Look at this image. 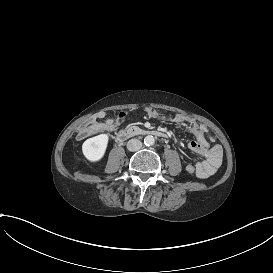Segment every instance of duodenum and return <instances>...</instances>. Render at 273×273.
<instances>
[{
    "mask_svg": "<svg viewBox=\"0 0 273 273\" xmlns=\"http://www.w3.org/2000/svg\"><path fill=\"white\" fill-rule=\"evenodd\" d=\"M140 135H153V136L160 137V138L166 137V134L160 130L142 129V128L133 126V127H129V128L123 129L120 132H118L116 139L119 143H122L129 138H132L135 136H140Z\"/></svg>",
    "mask_w": 273,
    "mask_h": 273,
    "instance_id": "1",
    "label": "duodenum"
}]
</instances>
